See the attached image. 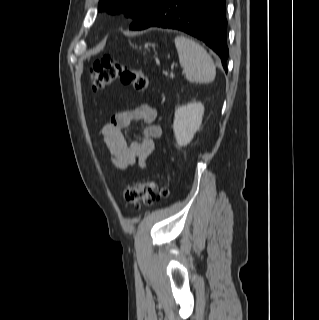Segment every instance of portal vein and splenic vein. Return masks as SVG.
Returning <instances> with one entry per match:
<instances>
[{"instance_id": "1", "label": "portal vein and splenic vein", "mask_w": 319, "mask_h": 320, "mask_svg": "<svg viewBox=\"0 0 319 320\" xmlns=\"http://www.w3.org/2000/svg\"><path fill=\"white\" fill-rule=\"evenodd\" d=\"M170 77L173 78V77H174V74H173V73H170Z\"/></svg>"}]
</instances>
